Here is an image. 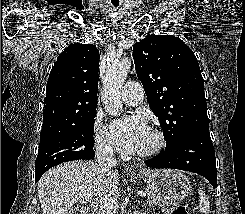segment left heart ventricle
Listing matches in <instances>:
<instances>
[{"label": "left heart ventricle", "instance_id": "left-heart-ventricle-1", "mask_svg": "<svg viewBox=\"0 0 245 214\" xmlns=\"http://www.w3.org/2000/svg\"><path fill=\"white\" fill-rule=\"evenodd\" d=\"M155 143H156L155 137L152 135L150 131H147L146 135L140 142L139 146L134 151L137 153V152L148 150L151 147H153Z\"/></svg>", "mask_w": 245, "mask_h": 214}]
</instances>
